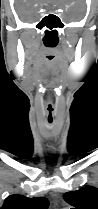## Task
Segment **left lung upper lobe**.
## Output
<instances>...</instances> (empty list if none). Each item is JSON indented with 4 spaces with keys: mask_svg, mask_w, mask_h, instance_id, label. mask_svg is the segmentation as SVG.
<instances>
[{
    "mask_svg": "<svg viewBox=\"0 0 98 209\" xmlns=\"http://www.w3.org/2000/svg\"><path fill=\"white\" fill-rule=\"evenodd\" d=\"M73 209H98V189L92 186L77 191L67 192L63 195Z\"/></svg>",
    "mask_w": 98,
    "mask_h": 209,
    "instance_id": "1",
    "label": "left lung upper lobe"
}]
</instances>
